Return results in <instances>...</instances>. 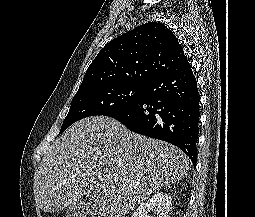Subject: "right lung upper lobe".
<instances>
[{"mask_svg": "<svg viewBox=\"0 0 255 217\" xmlns=\"http://www.w3.org/2000/svg\"><path fill=\"white\" fill-rule=\"evenodd\" d=\"M187 63L183 48L170 29L162 23H145L101 49L78 91L120 84L147 86Z\"/></svg>", "mask_w": 255, "mask_h": 217, "instance_id": "obj_1", "label": "right lung upper lobe"}]
</instances>
